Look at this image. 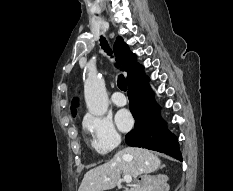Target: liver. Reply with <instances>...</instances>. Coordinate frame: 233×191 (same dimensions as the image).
<instances>
[{"label": "liver", "mask_w": 233, "mask_h": 191, "mask_svg": "<svg viewBox=\"0 0 233 191\" xmlns=\"http://www.w3.org/2000/svg\"><path fill=\"white\" fill-rule=\"evenodd\" d=\"M160 164V159L151 151L127 147L119 150L107 163L89 170L78 191L111 190L119 183L122 172L136 178L154 172Z\"/></svg>", "instance_id": "6515ba94"}]
</instances>
